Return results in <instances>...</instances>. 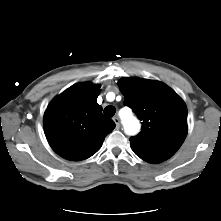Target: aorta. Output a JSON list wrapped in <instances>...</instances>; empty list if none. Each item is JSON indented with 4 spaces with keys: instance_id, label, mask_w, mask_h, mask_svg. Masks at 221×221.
Wrapping results in <instances>:
<instances>
[{
    "instance_id": "aorta-1",
    "label": "aorta",
    "mask_w": 221,
    "mask_h": 221,
    "mask_svg": "<svg viewBox=\"0 0 221 221\" xmlns=\"http://www.w3.org/2000/svg\"><path fill=\"white\" fill-rule=\"evenodd\" d=\"M124 127L128 134H135L139 130V122L136 118H134L131 114L127 115L124 120Z\"/></svg>"
}]
</instances>
